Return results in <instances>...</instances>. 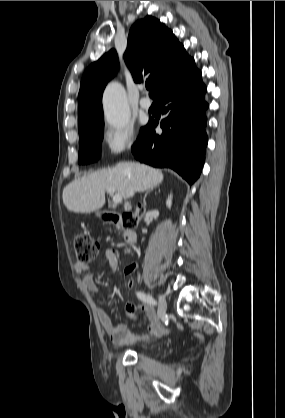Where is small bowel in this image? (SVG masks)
I'll return each instance as SVG.
<instances>
[{
    "label": "small bowel",
    "instance_id": "small-bowel-1",
    "mask_svg": "<svg viewBox=\"0 0 285 418\" xmlns=\"http://www.w3.org/2000/svg\"><path fill=\"white\" fill-rule=\"evenodd\" d=\"M105 257L108 261V264L110 268L116 269L119 266L120 260L118 256L117 250L111 248L107 249L105 251ZM137 266L134 263L127 264L124 267V274L127 277H130L135 272ZM75 270L78 274L81 275L82 282L87 290L90 292H97V286L94 282L93 276L88 272V265L83 263H76L75 264ZM128 286H132L133 281L132 279L127 280ZM143 310L145 312L146 319L149 322H153V310L147 305H143ZM123 310L126 313H133L136 311V306L133 304H126L123 308ZM99 317L101 320V324L107 333V335L110 337L113 344L117 346H121L124 344H135L141 341H146L149 339H154L162 336L166 329L164 327H154L151 329V333L148 337H138L131 333V331L128 329V326L125 322H118L114 323L106 314L100 312Z\"/></svg>",
    "mask_w": 285,
    "mask_h": 418
}]
</instances>
